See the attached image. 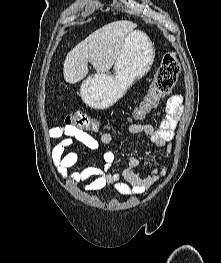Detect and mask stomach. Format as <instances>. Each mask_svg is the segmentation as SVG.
Returning a JSON list of instances; mask_svg holds the SVG:
<instances>
[{"mask_svg":"<svg viewBox=\"0 0 221 263\" xmlns=\"http://www.w3.org/2000/svg\"><path fill=\"white\" fill-rule=\"evenodd\" d=\"M155 49L141 31H132L124 39L114 63L113 75L96 73L85 79L80 87L83 101L96 110L107 109L150 70Z\"/></svg>","mask_w":221,"mask_h":263,"instance_id":"0dacf381","label":"stomach"}]
</instances>
